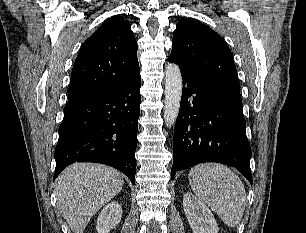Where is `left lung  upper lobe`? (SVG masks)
Here are the masks:
<instances>
[{"instance_id": "left-lung-upper-lobe-1", "label": "left lung upper lobe", "mask_w": 306, "mask_h": 233, "mask_svg": "<svg viewBox=\"0 0 306 233\" xmlns=\"http://www.w3.org/2000/svg\"><path fill=\"white\" fill-rule=\"evenodd\" d=\"M168 60L178 64L181 71L194 77L239 88L228 45L220 35L195 20H179Z\"/></svg>"}]
</instances>
